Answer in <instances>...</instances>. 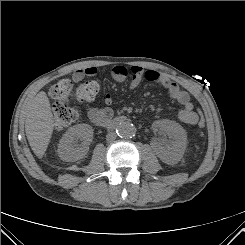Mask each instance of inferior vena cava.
Masks as SVG:
<instances>
[{
    "label": "inferior vena cava",
    "mask_w": 245,
    "mask_h": 245,
    "mask_svg": "<svg viewBox=\"0 0 245 245\" xmlns=\"http://www.w3.org/2000/svg\"><path fill=\"white\" fill-rule=\"evenodd\" d=\"M116 133L115 132H109L106 136V140L108 142L114 141L116 139Z\"/></svg>",
    "instance_id": "1"
}]
</instances>
